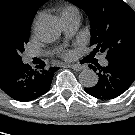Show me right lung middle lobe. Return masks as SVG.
Here are the masks:
<instances>
[{
	"mask_svg": "<svg viewBox=\"0 0 135 135\" xmlns=\"http://www.w3.org/2000/svg\"><path fill=\"white\" fill-rule=\"evenodd\" d=\"M31 20L7 0H0V58L21 62L28 42Z\"/></svg>",
	"mask_w": 135,
	"mask_h": 135,
	"instance_id": "1",
	"label": "right lung middle lobe"
}]
</instances>
